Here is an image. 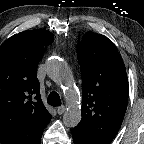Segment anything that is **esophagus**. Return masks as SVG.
<instances>
[{"instance_id":"obj_1","label":"esophagus","mask_w":144,"mask_h":144,"mask_svg":"<svg viewBox=\"0 0 144 144\" xmlns=\"http://www.w3.org/2000/svg\"><path fill=\"white\" fill-rule=\"evenodd\" d=\"M64 111H65V106H60V107L57 109V113H58L59 115H62V114L64 113Z\"/></svg>"}]
</instances>
